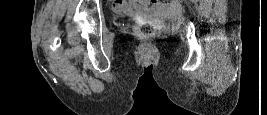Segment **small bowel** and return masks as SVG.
<instances>
[{
  "mask_svg": "<svg viewBox=\"0 0 267 115\" xmlns=\"http://www.w3.org/2000/svg\"><path fill=\"white\" fill-rule=\"evenodd\" d=\"M148 1H125V0H116L113 1V8L120 12L131 16H142L148 13L149 9ZM168 8L163 4H154L151 7L152 11H166ZM169 9L171 11H176L178 9L177 4H172Z\"/></svg>",
  "mask_w": 267,
  "mask_h": 115,
  "instance_id": "c3829d8e",
  "label": "small bowel"
}]
</instances>
